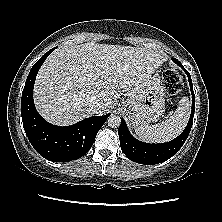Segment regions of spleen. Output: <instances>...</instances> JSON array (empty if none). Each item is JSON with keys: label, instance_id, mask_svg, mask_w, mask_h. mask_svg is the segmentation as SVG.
<instances>
[{"label": "spleen", "instance_id": "obj_1", "mask_svg": "<svg viewBox=\"0 0 222 222\" xmlns=\"http://www.w3.org/2000/svg\"><path fill=\"white\" fill-rule=\"evenodd\" d=\"M190 115V100L183 97L175 113L164 122L150 126H135L140 139L151 143H164L177 137L185 128Z\"/></svg>", "mask_w": 222, "mask_h": 222}]
</instances>
